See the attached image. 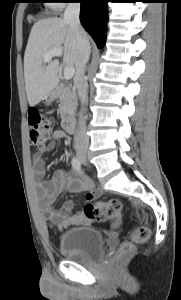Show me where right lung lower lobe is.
<instances>
[{"label":"right lung lower lobe","instance_id":"1","mask_svg":"<svg viewBox=\"0 0 181 300\" xmlns=\"http://www.w3.org/2000/svg\"><path fill=\"white\" fill-rule=\"evenodd\" d=\"M81 3L80 21L85 30L98 45L105 43L108 0H79Z\"/></svg>","mask_w":181,"mask_h":300}]
</instances>
